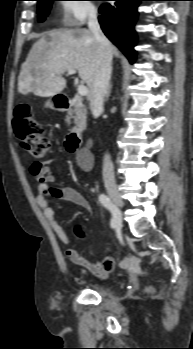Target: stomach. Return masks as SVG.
Listing matches in <instances>:
<instances>
[{"label":"stomach","mask_w":193,"mask_h":349,"mask_svg":"<svg viewBox=\"0 0 193 349\" xmlns=\"http://www.w3.org/2000/svg\"><path fill=\"white\" fill-rule=\"evenodd\" d=\"M45 106H46L47 108H51V109H54V108H55V104H54V102H53L52 99L47 100L46 103H45Z\"/></svg>","instance_id":"stomach-1"}]
</instances>
